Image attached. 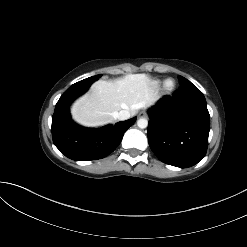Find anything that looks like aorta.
<instances>
[{"mask_svg": "<svg viewBox=\"0 0 247 247\" xmlns=\"http://www.w3.org/2000/svg\"><path fill=\"white\" fill-rule=\"evenodd\" d=\"M137 126L141 129H144L148 126V121L147 119L145 118H140L138 121H137Z\"/></svg>", "mask_w": 247, "mask_h": 247, "instance_id": "aorta-1", "label": "aorta"}]
</instances>
